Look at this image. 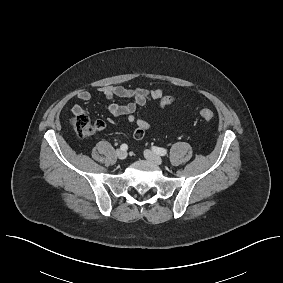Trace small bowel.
Here are the masks:
<instances>
[{
  "mask_svg": "<svg viewBox=\"0 0 283 283\" xmlns=\"http://www.w3.org/2000/svg\"><path fill=\"white\" fill-rule=\"evenodd\" d=\"M99 91L110 101L108 110L114 117H126L127 121L134 123L132 135L135 139H142L150 128L147 120L137 117L139 107L144 106L150 100H158L160 108L164 109L176 103L174 97L166 94L163 89H149L137 87L129 89L123 86H102ZM77 99L81 104H76L72 112L76 114L85 113V106L91 99V94L86 90L77 93ZM120 99H128L129 102L121 104Z\"/></svg>",
  "mask_w": 283,
  "mask_h": 283,
  "instance_id": "obj_1",
  "label": "small bowel"
}]
</instances>
